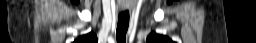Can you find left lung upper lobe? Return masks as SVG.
<instances>
[{
    "mask_svg": "<svg viewBox=\"0 0 256 43\" xmlns=\"http://www.w3.org/2000/svg\"><path fill=\"white\" fill-rule=\"evenodd\" d=\"M147 43H173L168 37L151 33L147 38Z\"/></svg>",
    "mask_w": 256,
    "mask_h": 43,
    "instance_id": "5c2ea615",
    "label": "left lung upper lobe"
}]
</instances>
